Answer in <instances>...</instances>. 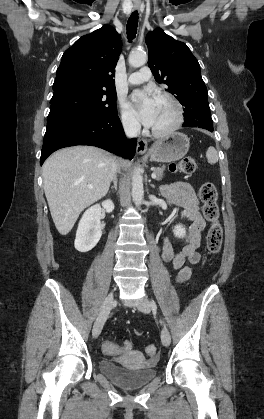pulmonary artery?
Returning a JSON list of instances; mask_svg holds the SVG:
<instances>
[{
    "mask_svg": "<svg viewBox=\"0 0 264 419\" xmlns=\"http://www.w3.org/2000/svg\"><path fill=\"white\" fill-rule=\"evenodd\" d=\"M150 69L148 67H143L139 71L132 73L129 78L128 82L131 85L141 84L150 79Z\"/></svg>",
    "mask_w": 264,
    "mask_h": 419,
    "instance_id": "1",
    "label": "pulmonary artery"
}]
</instances>
